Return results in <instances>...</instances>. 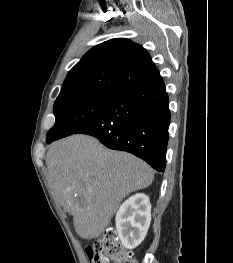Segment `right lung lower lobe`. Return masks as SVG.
<instances>
[{
	"instance_id": "1",
	"label": "right lung lower lobe",
	"mask_w": 233,
	"mask_h": 263,
	"mask_svg": "<svg viewBox=\"0 0 233 263\" xmlns=\"http://www.w3.org/2000/svg\"><path fill=\"white\" fill-rule=\"evenodd\" d=\"M169 124V98L159 74L119 92L97 119L76 134L92 135L108 148L130 152L163 172Z\"/></svg>"
}]
</instances>
